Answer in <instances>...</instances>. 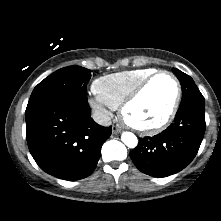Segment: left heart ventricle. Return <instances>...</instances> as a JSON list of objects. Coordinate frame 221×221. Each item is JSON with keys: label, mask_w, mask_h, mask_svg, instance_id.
<instances>
[{"label": "left heart ventricle", "mask_w": 221, "mask_h": 221, "mask_svg": "<svg viewBox=\"0 0 221 221\" xmlns=\"http://www.w3.org/2000/svg\"><path fill=\"white\" fill-rule=\"evenodd\" d=\"M176 89L167 75L155 78L140 97L128 108V120L141 127L153 126L168 114L174 101Z\"/></svg>", "instance_id": "b2bd125f"}]
</instances>
